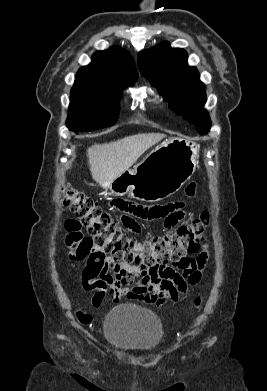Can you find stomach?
I'll return each mask as SVG.
<instances>
[{"mask_svg":"<svg viewBox=\"0 0 267 391\" xmlns=\"http://www.w3.org/2000/svg\"><path fill=\"white\" fill-rule=\"evenodd\" d=\"M198 146L182 138H169L133 169L121 173L110 184L117 196L156 202L172 195L190 179L198 163Z\"/></svg>","mask_w":267,"mask_h":391,"instance_id":"obj_1","label":"stomach"}]
</instances>
